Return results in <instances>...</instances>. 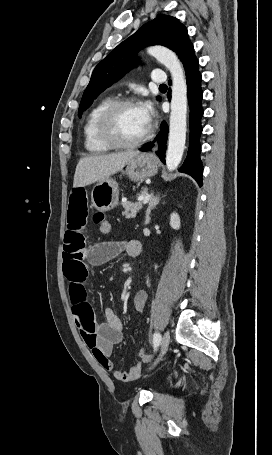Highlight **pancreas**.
Wrapping results in <instances>:
<instances>
[{"label": "pancreas", "mask_w": 272, "mask_h": 455, "mask_svg": "<svg viewBox=\"0 0 272 455\" xmlns=\"http://www.w3.org/2000/svg\"><path fill=\"white\" fill-rule=\"evenodd\" d=\"M141 195H146V191H142ZM124 212L122 213L127 219L136 217L137 212L142 208L141 201L123 203Z\"/></svg>", "instance_id": "cf45deb5"}]
</instances>
